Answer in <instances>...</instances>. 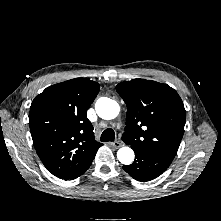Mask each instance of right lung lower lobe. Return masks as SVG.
<instances>
[{
    "mask_svg": "<svg viewBox=\"0 0 221 221\" xmlns=\"http://www.w3.org/2000/svg\"><path fill=\"white\" fill-rule=\"evenodd\" d=\"M90 165H91V163L79 175H77L76 177L71 178L70 180L75 179V178L79 177L80 175H82L90 167Z\"/></svg>",
    "mask_w": 221,
    "mask_h": 221,
    "instance_id": "1",
    "label": "right lung lower lobe"
}]
</instances>
